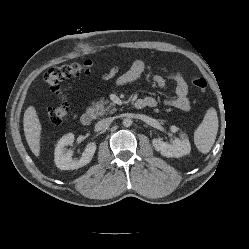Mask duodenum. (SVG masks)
<instances>
[{
	"instance_id": "1",
	"label": "duodenum",
	"mask_w": 249,
	"mask_h": 249,
	"mask_svg": "<svg viewBox=\"0 0 249 249\" xmlns=\"http://www.w3.org/2000/svg\"><path fill=\"white\" fill-rule=\"evenodd\" d=\"M134 106L136 109H143L146 107V103L143 100L139 99L135 102ZM91 121L92 114L90 112H84L80 117V122L84 126L90 125Z\"/></svg>"
}]
</instances>
